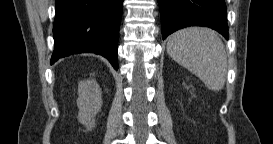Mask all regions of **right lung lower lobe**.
<instances>
[{
  "label": "right lung lower lobe",
  "instance_id": "obj_1",
  "mask_svg": "<svg viewBox=\"0 0 273 144\" xmlns=\"http://www.w3.org/2000/svg\"><path fill=\"white\" fill-rule=\"evenodd\" d=\"M123 0H56L51 64L62 57L93 52L117 70Z\"/></svg>",
  "mask_w": 273,
  "mask_h": 144
}]
</instances>
